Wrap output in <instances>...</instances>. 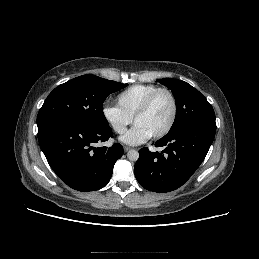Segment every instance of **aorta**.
I'll return each instance as SVG.
<instances>
[{
  "mask_svg": "<svg viewBox=\"0 0 259 259\" xmlns=\"http://www.w3.org/2000/svg\"><path fill=\"white\" fill-rule=\"evenodd\" d=\"M127 157L130 161H137L139 158V153L136 150H130L127 153Z\"/></svg>",
  "mask_w": 259,
  "mask_h": 259,
  "instance_id": "aorta-1",
  "label": "aorta"
}]
</instances>
